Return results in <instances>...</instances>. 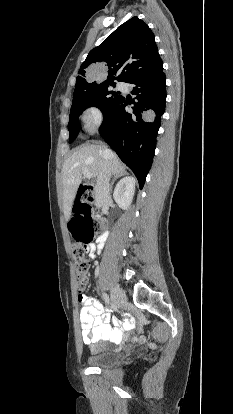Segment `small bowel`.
I'll return each mask as SVG.
<instances>
[{
    "label": "small bowel",
    "mask_w": 233,
    "mask_h": 414,
    "mask_svg": "<svg viewBox=\"0 0 233 414\" xmlns=\"http://www.w3.org/2000/svg\"><path fill=\"white\" fill-rule=\"evenodd\" d=\"M107 239V234L102 233L95 243L87 246L86 250L92 259L97 256V251H100ZM80 322L82 330L83 342L91 347L93 350L99 349L97 343L101 340L108 341L112 344L119 345L124 341V334L134 326L132 318L121 322L118 319L114 320V327L110 325V314L105 310L104 306L94 297L86 296L85 291L79 292Z\"/></svg>",
    "instance_id": "small-bowel-1"
}]
</instances>
